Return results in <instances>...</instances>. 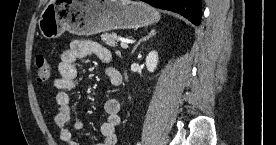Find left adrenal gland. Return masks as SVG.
Segmentation results:
<instances>
[{
  "instance_id": "left-adrenal-gland-1",
  "label": "left adrenal gland",
  "mask_w": 276,
  "mask_h": 145,
  "mask_svg": "<svg viewBox=\"0 0 276 145\" xmlns=\"http://www.w3.org/2000/svg\"><path fill=\"white\" fill-rule=\"evenodd\" d=\"M154 35H156V30L152 29L145 37H143L142 39H140L137 44L134 46L132 53L135 52V50L137 49V47L144 41L150 39L151 37H153Z\"/></svg>"
}]
</instances>
